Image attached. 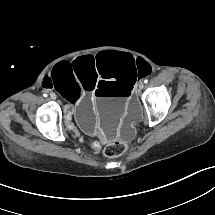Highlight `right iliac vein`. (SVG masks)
Wrapping results in <instances>:
<instances>
[{
	"label": "right iliac vein",
	"mask_w": 215,
	"mask_h": 215,
	"mask_svg": "<svg viewBox=\"0 0 215 215\" xmlns=\"http://www.w3.org/2000/svg\"><path fill=\"white\" fill-rule=\"evenodd\" d=\"M50 97H51V99H54V100H55V99H56V94H55V93H51V94H50Z\"/></svg>",
	"instance_id": "63e3f726"
}]
</instances>
